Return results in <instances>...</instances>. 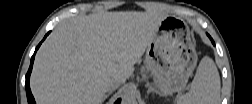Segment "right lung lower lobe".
Returning a JSON list of instances; mask_svg holds the SVG:
<instances>
[{"instance_id":"98d812e1","label":"right lung lower lobe","mask_w":252,"mask_h":104,"mask_svg":"<svg viewBox=\"0 0 252 104\" xmlns=\"http://www.w3.org/2000/svg\"><path fill=\"white\" fill-rule=\"evenodd\" d=\"M48 34H49V32L45 35L44 39L47 37ZM41 43L37 46L32 58H31L30 67H29V70H28L27 75H26L25 88H26L28 104H35V100H34V97H33L32 93H31L30 86H29V79H30V74H31V71H32V65H33V62H34L35 54H36V51L38 50L39 46L41 45ZM120 101L121 100L118 99L115 103L116 104L120 103Z\"/></svg>"}]
</instances>
